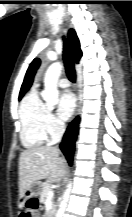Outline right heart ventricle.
Returning <instances> with one entry per match:
<instances>
[{"label":"right heart ventricle","mask_w":132,"mask_h":217,"mask_svg":"<svg viewBox=\"0 0 132 217\" xmlns=\"http://www.w3.org/2000/svg\"><path fill=\"white\" fill-rule=\"evenodd\" d=\"M48 111L36 89L22 99L19 108L20 140L28 149L41 147L48 139L45 122Z\"/></svg>","instance_id":"right-heart-ventricle-1"}]
</instances>
